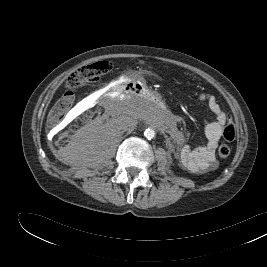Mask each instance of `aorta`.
Returning <instances> with one entry per match:
<instances>
[{
  "label": "aorta",
  "mask_w": 267,
  "mask_h": 267,
  "mask_svg": "<svg viewBox=\"0 0 267 267\" xmlns=\"http://www.w3.org/2000/svg\"><path fill=\"white\" fill-rule=\"evenodd\" d=\"M144 136L148 139L151 140L155 137V131L151 128H148L144 131Z\"/></svg>",
  "instance_id": "obj_1"
}]
</instances>
